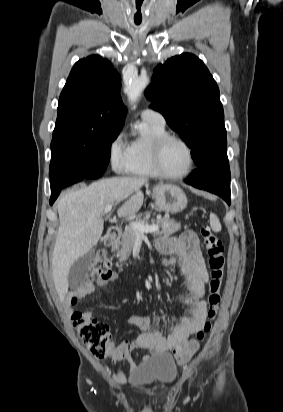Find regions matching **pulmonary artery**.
Wrapping results in <instances>:
<instances>
[{"instance_id": "obj_1", "label": "pulmonary artery", "mask_w": 283, "mask_h": 412, "mask_svg": "<svg viewBox=\"0 0 283 412\" xmlns=\"http://www.w3.org/2000/svg\"><path fill=\"white\" fill-rule=\"evenodd\" d=\"M141 118L143 121H148L162 126H165L166 123L164 116L160 112L151 108L143 110L141 113Z\"/></svg>"}]
</instances>
